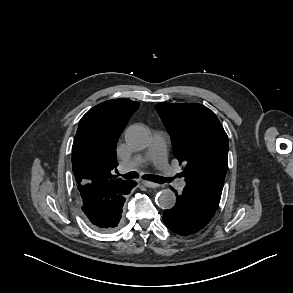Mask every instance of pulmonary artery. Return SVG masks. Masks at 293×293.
<instances>
[{
    "label": "pulmonary artery",
    "instance_id": "1",
    "mask_svg": "<svg viewBox=\"0 0 293 293\" xmlns=\"http://www.w3.org/2000/svg\"><path fill=\"white\" fill-rule=\"evenodd\" d=\"M166 135L162 132H157L153 135V138L147 148L144 156H137L131 161L122 163L119 166V171L125 173L135 170L137 167L142 166L146 161L152 160L158 170L164 175L173 176V170L168 164L166 159ZM179 190H182L185 186V182L180 180L177 182Z\"/></svg>",
    "mask_w": 293,
    "mask_h": 293
}]
</instances>
